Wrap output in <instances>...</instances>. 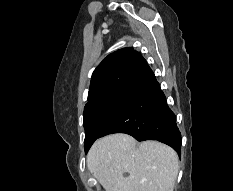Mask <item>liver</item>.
<instances>
[{
  "instance_id": "6515ba94",
  "label": "liver",
  "mask_w": 233,
  "mask_h": 191,
  "mask_svg": "<svg viewBox=\"0 0 233 191\" xmlns=\"http://www.w3.org/2000/svg\"><path fill=\"white\" fill-rule=\"evenodd\" d=\"M87 167L105 191H173L179 159L165 144L145 141L137 146L132 136L117 133L92 145Z\"/></svg>"
}]
</instances>
